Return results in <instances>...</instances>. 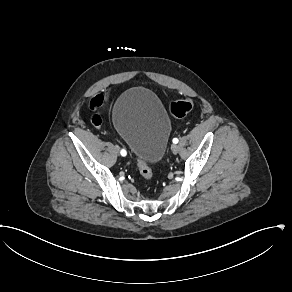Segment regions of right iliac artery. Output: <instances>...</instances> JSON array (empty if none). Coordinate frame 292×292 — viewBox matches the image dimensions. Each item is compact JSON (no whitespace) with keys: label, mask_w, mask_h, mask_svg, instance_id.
Masks as SVG:
<instances>
[{"label":"right iliac artery","mask_w":292,"mask_h":292,"mask_svg":"<svg viewBox=\"0 0 292 292\" xmlns=\"http://www.w3.org/2000/svg\"><path fill=\"white\" fill-rule=\"evenodd\" d=\"M126 154H127L126 150H125V149H122V150H121V155H122V156H126Z\"/></svg>","instance_id":"1"}]
</instances>
